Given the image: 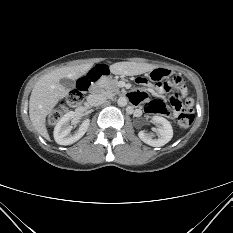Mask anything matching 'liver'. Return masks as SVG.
Listing matches in <instances>:
<instances>
[{"mask_svg": "<svg viewBox=\"0 0 233 233\" xmlns=\"http://www.w3.org/2000/svg\"><path fill=\"white\" fill-rule=\"evenodd\" d=\"M92 67V63H87L59 68L45 74L35 84L29 100V116L35 130L45 139H50L45 125L47 115L68 94V90L62 86L60 80L62 78L76 80L88 73ZM155 68L156 66L147 63L118 62L110 66V71L116 75L133 76Z\"/></svg>", "mask_w": 233, "mask_h": 233, "instance_id": "obj_1", "label": "liver"}]
</instances>
